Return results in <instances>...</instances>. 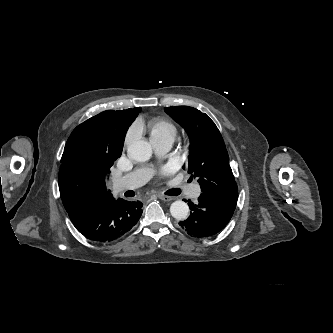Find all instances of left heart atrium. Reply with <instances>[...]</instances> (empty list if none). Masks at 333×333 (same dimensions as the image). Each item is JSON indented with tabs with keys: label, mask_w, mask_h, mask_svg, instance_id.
I'll use <instances>...</instances> for the list:
<instances>
[{
	"label": "left heart atrium",
	"mask_w": 333,
	"mask_h": 333,
	"mask_svg": "<svg viewBox=\"0 0 333 333\" xmlns=\"http://www.w3.org/2000/svg\"><path fill=\"white\" fill-rule=\"evenodd\" d=\"M170 167H165L164 170H163V173H168L170 171Z\"/></svg>",
	"instance_id": "39dd6f15"
}]
</instances>
